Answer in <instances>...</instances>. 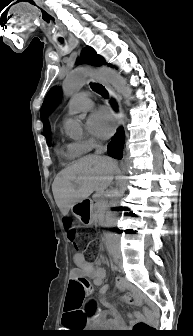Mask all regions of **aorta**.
<instances>
[{
	"label": "aorta",
	"instance_id": "1",
	"mask_svg": "<svg viewBox=\"0 0 193 336\" xmlns=\"http://www.w3.org/2000/svg\"><path fill=\"white\" fill-rule=\"evenodd\" d=\"M97 75L110 83L124 98L132 97V89L127 85L126 80L120 76L115 70L108 67H100L97 69L79 67L73 70L65 79L63 84V92L66 96L76 94L87 82L88 77ZM65 133L73 140H78L83 136V127L80 121L75 119H67L64 124ZM117 190V189H116ZM112 205L117 204V200L111 202Z\"/></svg>",
	"mask_w": 193,
	"mask_h": 336
}]
</instances>
